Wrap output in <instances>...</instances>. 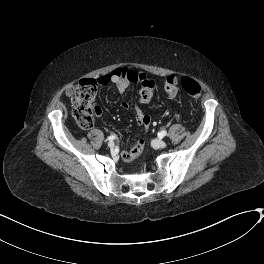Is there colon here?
<instances>
[{
    "label": "colon",
    "instance_id": "obj_1",
    "mask_svg": "<svg viewBox=\"0 0 264 264\" xmlns=\"http://www.w3.org/2000/svg\"><path fill=\"white\" fill-rule=\"evenodd\" d=\"M181 87L189 97L197 99L202 94V89L197 80L185 76L181 79ZM165 92L170 97L178 93V81L175 76H168L163 79ZM157 81L147 78L140 83L139 95L143 101L151 100L156 92ZM97 90V81L94 79H83L76 84L66 88V96L70 99L73 108V117L82 129H90L94 125L95 117L99 114L97 106L94 105V98ZM142 142H138L136 150L142 148Z\"/></svg>",
    "mask_w": 264,
    "mask_h": 264
}]
</instances>
